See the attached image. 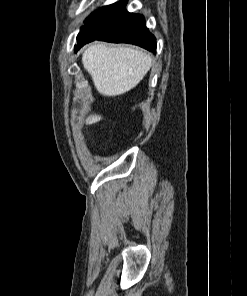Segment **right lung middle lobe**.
<instances>
[{
    "instance_id": "right-lung-middle-lobe-1",
    "label": "right lung middle lobe",
    "mask_w": 247,
    "mask_h": 296,
    "mask_svg": "<svg viewBox=\"0 0 247 296\" xmlns=\"http://www.w3.org/2000/svg\"><path fill=\"white\" fill-rule=\"evenodd\" d=\"M106 9V6L98 9L97 11H95L94 13H92L87 20L85 21V25L81 28L80 33L77 36V42L78 44L84 40V38L87 36V30L86 27L89 23H91L92 21H94L95 19H97ZM77 44V45H78Z\"/></svg>"
}]
</instances>
